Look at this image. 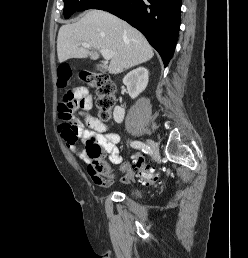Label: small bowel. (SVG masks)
Here are the masks:
<instances>
[{"mask_svg":"<svg viewBox=\"0 0 248 258\" xmlns=\"http://www.w3.org/2000/svg\"><path fill=\"white\" fill-rule=\"evenodd\" d=\"M75 103V108L79 109L80 114L87 126L86 128L81 121L73 122L76 127L78 136L83 140H86L89 137L97 138L102 148L107 152L109 160L113 164L119 165V171L124 174L121 178L122 183H128L132 181L134 179V175H132V173H128V162H122V158L117 147L120 141V136L117 133L108 132V126L91 114L90 110L93 106V100L87 88L81 87L76 91ZM61 133L70 149L73 152L78 153L74 143L66 139V132L61 131ZM93 183L94 185H100L103 187L110 185L108 183H104L103 180H94Z\"/></svg>","mask_w":248,"mask_h":258,"instance_id":"1","label":"small bowel"}]
</instances>
